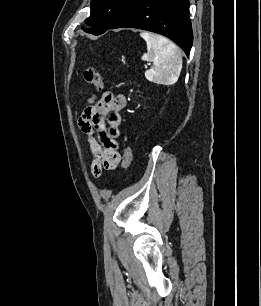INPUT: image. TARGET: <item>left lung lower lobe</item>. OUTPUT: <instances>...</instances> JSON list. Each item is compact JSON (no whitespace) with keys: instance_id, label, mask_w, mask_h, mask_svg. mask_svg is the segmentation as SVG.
<instances>
[{"instance_id":"left-lung-lower-lobe-1","label":"left lung lower lobe","mask_w":261,"mask_h":306,"mask_svg":"<svg viewBox=\"0 0 261 306\" xmlns=\"http://www.w3.org/2000/svg\"><path fill=\"white\" fill-rule=\"evenodd\" d=\"M188 9L189 0H133L110 29L131 27L162 34L189 56L193 32Z\"/></svg>"}]
</instances>
